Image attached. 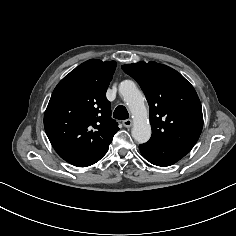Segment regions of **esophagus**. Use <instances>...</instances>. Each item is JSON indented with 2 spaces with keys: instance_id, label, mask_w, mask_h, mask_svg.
I'll return each instance as SVG.
<instances>
[{
  "instance_id": "obj_1",
  "label": "esophagus",
  "mask_w": 236,
  "mask_h": 236,
  "mask_svg": "<svg viewBox=\"0 0 236 236\" xmlns=\"http://www.w3.org/2000/svg\"><path fill=\"white\" fill-rule=\"evenodd\" d=\"M133 124V121L131 119H126L123 121V126L126 128H130Z\"/></svg>"
}]
</instances>
